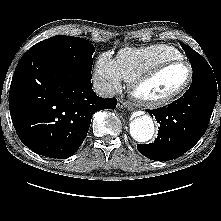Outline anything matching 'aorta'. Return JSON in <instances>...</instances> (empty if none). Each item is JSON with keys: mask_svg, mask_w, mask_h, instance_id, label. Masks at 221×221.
<instances>
[{"mask_svg": "<svg viewBox=\"0 0 221 221\" xmlns=\"http://www.w3.org/2000/svg\"><path fill=\"white\" fill-rule=\"evenodd\" d=\"M129 126L132 138L138 142H147L154 135V122L149 115L134 118Z\"/></svg>", "mask_w": 221, "mask_h": 221, "instance_id": "aorta-1", "label": "aorta"}]
</instances>
